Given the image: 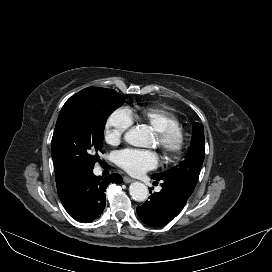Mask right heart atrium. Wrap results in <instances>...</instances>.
<instances>
[{
	"instance_id": "obj_1",
	"label": "right heart atrium",
	"mask_w": 272,
	"mask_h": 272,
	"mask_svg": "<svg viewBox=\"0 0 272 272\" xmlns=\"http://www.w3.org/2000/svg\"><path fill=\"white\" fill-rule=\"evenodd\" d=\"M132 124L133 121L125 109L114 110L104 125L105 142L109 145L119 144Z\"/></svg>"
}]
</instances>
